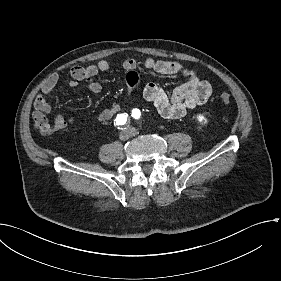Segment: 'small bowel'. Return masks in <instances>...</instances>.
Returning a JSON list of instances; mask_svg holds the SVG:
<instances>
[{
	"instance_id": "small-bowel-1",
	"label": "small bowel",
	"mask_w": 281,
	"mask_h": 281,
	"mask_svg": "<svg viewBox=\"0 0 281 281\" xmlns=\"http://www.w3.org/2000/svg\"><path fill=\"white\" fill-rule=\"evenodd\" d=\"M145 69L165 75H180L186 81L177 87L171 96L155 83L147 84L142 91L143 98L151 103L157 112L166 119H180L190 110L204 104L212 94L213 85L207 80L200 78L193 69L185 67L176 61L156 60L146 58L143 62ZM126 71L127 92L131 93L139 83L137 73L138 63L133 58H127L122 62ZM111 68V62L101 60L96 64L88 66H73L70 70L72 80L71 87H77L80 83H87L89 89L97 94L102 91V85L95 80L100 72H106ZM60 77L57 74L51 75L44 82L42 92L34 101L32 117L34 126L43 134H52L55 131L64 130L75 123V119L67 118L54 112L53 121H49L46 115L51 111V106L45 96L53 92ZM121 111V104L118 101L112 102L108 108L99 114L100 122L112 120Z\"/></svg>"
}]
</instances>
